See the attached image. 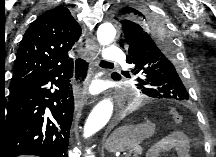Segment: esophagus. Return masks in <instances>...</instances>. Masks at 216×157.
<instances>
[{
    "instance_id": "esophagus-1",
    "label": "esophagus",
    "mask_w": 216,
    "mask_h": 157,
    "mask_svg": "<svg viewBox=\"0 0 216 157\" xmlns=\"http://www.w3.org/2000/svg\"><path fill=\"white\" fill-rule=\"evenodd\" d=\"M80 51H84L86 57L79 56L76 60L82 59L83 62L74 63L75 75H81L82 84L75 83L73 86L75 106L82 107L89 95L90 81L96 65L98 46L92 39L87 38L85 44L81 46Z\"/></svg>"
}]
</instances>
